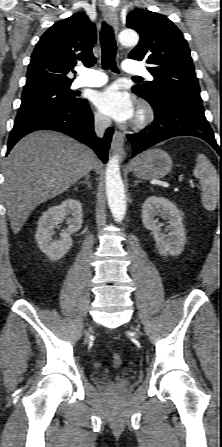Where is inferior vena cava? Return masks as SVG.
<instances>
[{"label": "inferior vena cava", "instance_id": "obj_1", "mask_svg": "<svg viewBox=\"0 0 222 447\" xmlns=\"http://www.w3.org/2000/svg\"><path fill=\"white\" fill-rule=\"evenodd\" d=\"M111 124L109 118L101 117L95 124V131L97 136L102 137L105 129Z\"/></svg>", "mask_w": 222, "mask_h": 447}]
</instances>
